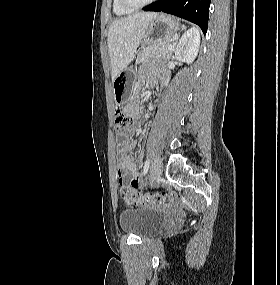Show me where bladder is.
<instances>
[{"mask_svg": "<svg viewBox=\"0 0 280 285\" xmlns=\"http://www.w3.org/2000/svg\"><path fill=\"white\" fill-rule=\"evenodd\" d=\"M162 224L163 215L155 209H125L119 216L121 230L137 236H148L156 233L161 229Z\"/></svg>", "mask_w": 280, "mask_h": 285, "instance_id": "31cf9c89", "label": "bladder"}]
</instances>
